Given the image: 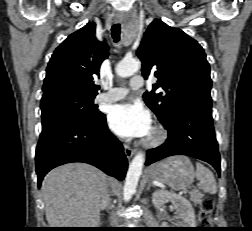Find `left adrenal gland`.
Wrapping results in <instances>:
<instances>
[{
  "mask_svg": "<svg viewBox=\"0 0 252 231\" xmlns=\"http://www.w3.org/2000/svg\"><path fill=\"white\" fill-rule=\"evenodd\" d=\"M147 182H148V186H147V190H150V187L152 186V183H151V181L150 180H147Z\"/></svg>",
  "mask_w": 252,
  "mask_h": 231,
  "instance_id": "1",
  "label": "left adrenal gland"
}]
</instances>
